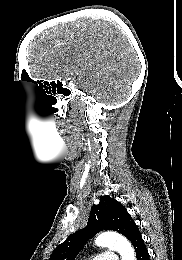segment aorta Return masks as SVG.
Instances as JSON below:
<instances>
[{"label": "aorta", "instance_id": "1", "mask_svg": "<svg viewBox=\"0 0 182 260\" xmlns=\"http://www.w3.org/2000/svg\"><path fill=\"white\" fill-rule=\"evenodd\" d=\"M95 244L99 247H108L117 251L121 256V260H136L132 245L124 236L118 233H102L96 237Z\"/></svg>", "mask_w": 182, "mask_h": 260}]
</instances>
